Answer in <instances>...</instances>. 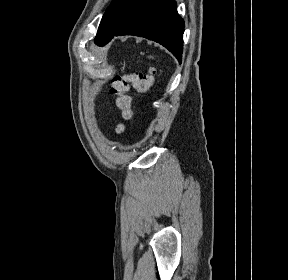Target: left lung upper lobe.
Instances as JSON below:
<instances>
[{
	"mask_svg": "<svg viewBox=\"0 0 288 280\" xmlns=\"http://www.w3.org/2000/svg\"><path fill=\"white\" fill-rule=\"evenodd\" d=\"M144 0H113L107 8L99 25L95 43L106 44L116 33L128 15Z\"/></svg>",
	"mask_w": 288,
	"mask_h": 280,
	"instance_id": "1",
	"label": "left lung upper lobe"
}]
</instances>
